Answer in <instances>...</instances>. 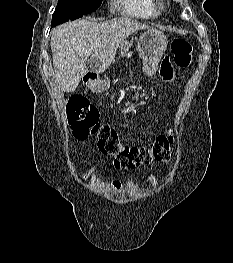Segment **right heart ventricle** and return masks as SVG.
<instances>
[{"label":"right heart ventricle","mask_w":233,"mask_h":263,"mask_svg":"<svg viewBox=\"0 0 233 263\" xmlns=\"http://www.w3.org/2000/svg\"><path fill=\"white\" fill-rule=\"evenodd\" d=\"M121 2L124 10L135 17H155L161 10L155 0H121Z\"/></svg>","instance_id":"right-heart-ventricle-1"}]
</instances>
